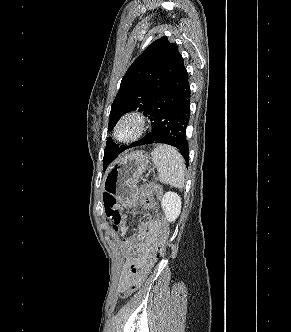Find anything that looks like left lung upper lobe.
Segmentation results:
<instances>
[{
	"mask_svg": "<svg viewBox=\"0 0 291 332\" xmlns=\"http://www.w3.org/2000/svg\"><path fill=\"white\" fill-rule=\"evenodd\" d=\"M181 60L178 46L170 43L166 36L150 44L131 64L121 81L120 89L111 106L108 129L112 130L120 117L127 112L139 109L147 113ZM120 148L111 138L107 140L104 168Z\"/></svg>",
	"mask_w": 291,
	"mask_h": 332,
	"instance_id": "left-lung-upper-lobe-1",
	"label": "left lung upper lobe"
}]
</instances>
